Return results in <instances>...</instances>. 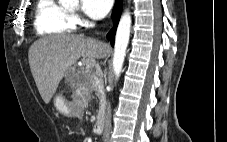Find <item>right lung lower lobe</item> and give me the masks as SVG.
Returning a JSON list of instances; mask_svg holds the SVG:
<instances>
[{
    "mask_svg": "<svg viewBox=\"0 0 227 142\" xmlns=\"http://www.w3.org/2000/svg\"><path fill=\"white\" fill-rule=\"evenodd\" d=\"M120 14H121V0H117V4H116V6L113 10V14H112L113 28L107 34V37L110 40L112 46L114 45L115 32H116V28H117V25L119 22Z\"/></svg>",
    "mask_w": 227,
    "mask_h": 142,
    "instance_id": "right-lung-lower-lobe-1",
    "label": "right lung lower lobe"
}]
</instances>
